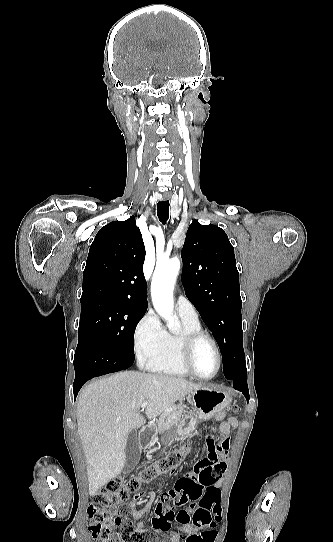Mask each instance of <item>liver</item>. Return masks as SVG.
I'll return each mask as SVG.
<instances>
[{
  "instance_id": "obj_1",
  "label": "liver",
  "mask_w": 333,
  "mask_h": 542,
  "mask_svg": "<svg viewBox=\"0 0 333 542\" xmlns=\"http://www.w3.org/2000/svg\"><path fill=\"white\" fill-rule=\"evenodd\" d=\"M200 388V384L184 378L142 372H119L85 386L76 418L86 458L89 496H96L102 486L121 474L128 436L145 424L139 414L143 402H148L145 414L151 420ZM117 418L123 420L116 422Z\"/></svg>"
}]
</instances>
